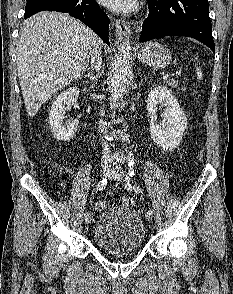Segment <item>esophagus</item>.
Segmentation results:
<instances>
[{"label": "esophagus", "instance_id": "esophagus-1", "mask_svg": "<svg viewBox=\"0 0 233 294\" xmlns=\"http://www.w3.org/2000/svg\"><path fill=\"white\" fill-rule=\"evenodd\" d=\"M113 26L115 28V36L118 40H123L128 37L130 31L126 22L114 19Z\"/></svg>", "mask_w": 233, "mask_h": 294}]
</instances>
